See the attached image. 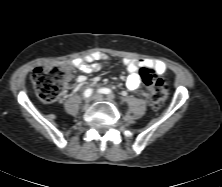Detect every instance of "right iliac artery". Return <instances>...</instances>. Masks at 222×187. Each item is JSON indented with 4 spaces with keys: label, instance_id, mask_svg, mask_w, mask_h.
Segmentation results:
<instances>
[{
    "label": "right iliac artery",
    "instance_id": "1",
    "mask_svg": "<svg viewBox=\"0 0 222 187\" xmlns=\"http://www.w3.org/2000/svg\"><path fill=\"white\" fill-rule=\"evenodd\" d=\"M92 94V89H86L84 91V96L87 98V97H90Z\"/></svg>",
    "mask_w": 222,
    "mask_h": 187
}]
</instances>
